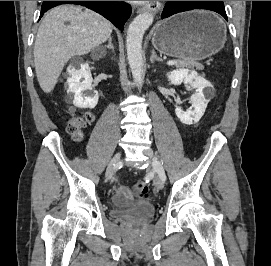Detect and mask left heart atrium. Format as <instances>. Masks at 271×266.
<instances>
[{"mask_svg":"<svg viewBox=\"0 0 271 266\" xmlns=\"http://www.w3.org/2000/svg\"><path fill=\"white\" fill-rule=\"evenodd\" d=\"M133 2H137V3H140V2H145V1H133Z\"/></svg>","mask_w":271,"mask_h":266,"instance_id":"1","label":"left heart atrium"}]
</instances>
